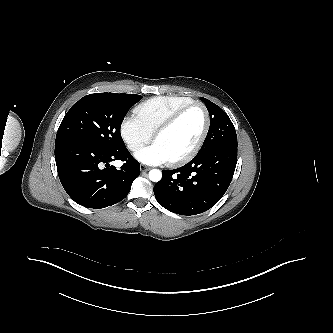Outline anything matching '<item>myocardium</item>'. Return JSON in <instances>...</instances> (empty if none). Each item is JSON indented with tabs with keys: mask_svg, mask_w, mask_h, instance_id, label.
Returning a JSON list of instances; mask_svg holds the SVG:
<instances>
[{
	"mask_svg": "<svg viewBox=\"0 0 333 333\" xmlns=\"http://www.w3.org/2000/svg\"><path fill=\"white\" fill-rule=\"evenodd\" d=\"M194 107H200L203 110L204 113V127L201 132L200 137L198 138L195 145L185 154L171 159L168 162L171 165H181L188 161H190L192 158H194L199 150L201 149L202 145L204 144L206 137L209 132L210 128V114L209 110L206 107V105L200 101H194L192 103H189L181 108H179L177 111H175L172 115H170L163 123H161L157 129L154 131L153 139L154 141L165 131L170 129L186 112H188L190 109Z\"/></svg>",
	"mask_w": 333,
	"mask_h": 333,
	"instance_id": "1",
	"label": "myocardium"
}]
</instances>
